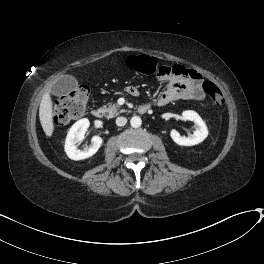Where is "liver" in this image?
<instances>
[{
	"mask_svg": "<svg viewBox=\"0 0 264 264\" xmlns=\"http://www.w3.org/2000/svg\"><path fill=\"white\" fill-rule=\"evenodd\" d=\"M51 89L44 94L39 108V118L42 128L48 137H51L54 131L53 123V103L50 95Z\"/></svg>",
	"mask_w": 264,
	"mask_h": 264,
	"instance_id": "1",
	"label": "liver"
}]
</instances>
